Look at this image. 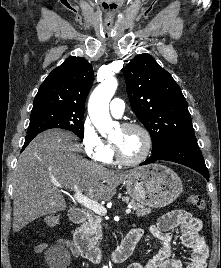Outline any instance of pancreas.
Masks as SVG:
<instances>
[{
	"label": "pancreas",
	"instance_id": "1",
	"mask_svg": "<svg viewBox=\"0 0 221 268\" xmlns=\"http://www.w3.org/2000/svg\"><path fill=\"white\" fill-rule=\"evenodd\" d=\"M123 200L129 202L127 197H123ZM130 204L132 205V208L137 216H145L151 213L150 208H146L143 204L135 202L134 200H131ZM101 221L102 219L100 216L92 214L88 217V221L82 226L84 235L93 244H97L102 238Z\"/></svg>",
	"mask_w": 221,
	"mask_h": 268
}]
</instances>
